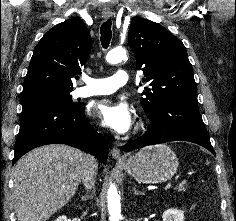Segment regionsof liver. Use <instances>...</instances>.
<instances>
[{"mask_svg": "<svg viewBox=\"0 0 236 221\" xmlns=\"http://www.w3.org/2000/svg\"><path fill=\"white\" fill-rule=\"evenodd\" d=\"M85 154L61 144L36 148L14 167L18 221H46L74 196L82 180Z\"/></svg>", "mask_w": 236, "mask_h": 221, "instance_id": "1", "label": "liver"}]
</instances>
